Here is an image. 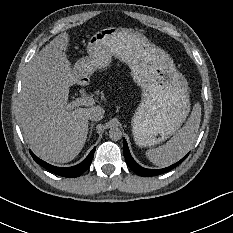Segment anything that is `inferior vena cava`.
Listing matches in <instances>:
<instances>
[{
  "instance_id": "obj_1",
  "label": "inferior vena cava",
  "mask_w": 233,
  "mask_h": 233,
  "mask_svg": "<svg viewBox=\"0 0 233 233\" xmlns=\"http://www.w3.org/2000/svg\"><path fill=\"white\" fill-rule=\"evenodd\" d=\"M104 116V110L102 108H95L88 116V119L92 121H99Z\"/></svg>"
}]
</instances>
